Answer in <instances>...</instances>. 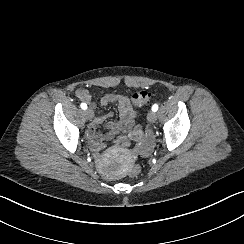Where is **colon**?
Instances as JSON below:
<instances>
[{
  "mask_svg": "<svg viewBox=\"0 0 244 244\" xmlns=\"http://www.w3.org/2000/svg\"><path fill=\"white\" fill-rule=\"evenodd\" d=\"M132 104L136 107L146 106L151 101V94L148 91H139L132 94ZM143 138L142 129L138 126L132 128L131 131V139L133 141H138ZM115 145L118 148L123 150H128L131 147V142L128 139L123 137H118L115 140ZM131 173L133 176L138 177L142 173V169L140 166L135 165L131 169Z\"/></svg>",
  "mask_w": 244,
  "mask_h": 244,
  "instance_id": "1",
  "label": "colon"
}]
</instances>
